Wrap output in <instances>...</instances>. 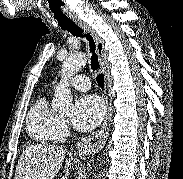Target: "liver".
Here are the masks:
<instances>
[{
    "label": "liver",
    "instance_id": "obj_1",
    "mask_svg": "<svg viewBox=\"0 0 183 179\" xmlns=\"http://www.w3.org/2000/svg\"><path fill=\"white\" fill-rule=\"evenodd\" d=\"M65 154V150L58 146H29L22 152L18 160L15 179H54L62 166ZM71 161L72 158L67 161L65 176L62 179H68V168H71Z\"/></svg>",
    "mask_w": 183,
    "mask_h": 179
}]
</instances>
